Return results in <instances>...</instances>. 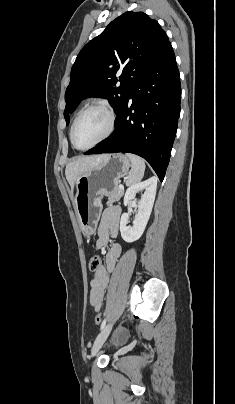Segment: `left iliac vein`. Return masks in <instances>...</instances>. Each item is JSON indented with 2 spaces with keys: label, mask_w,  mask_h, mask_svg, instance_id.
Masks as SVG:
<instances>
[{
  "label": "left iliac vein",
  "mask_w": 235,
  "mask_h": 404,
  "mask_svg": "<svg viewBox=\"0 0 235 404\" xmlns=\"http://www.w3.org/2000/svg\"><path fill=\"white\" fill-rule=\"evenodd\" d=\"M112 327H113V323H109L99 333V335L97 336V338L93 344V347H92V355H95L99 351V349L102 347V345L106 341L107 337L109 336V334L112 330Z\"/></svg>",
  "instance_id": "1"
}]
</instances>
